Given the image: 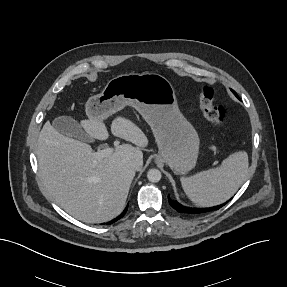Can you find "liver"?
<instances>
[{
  "label": "liver",
  "mask_w": 287,
  "mask_h": 287,
  "mask_svg": "<svg viewBox=\"0 0 287 287\" xmlns=\"http://www.w3.org/2000/svg\"><path fill=\"white\" fill-rule=\"evenodd\" d=\"M81 123L92 138L109 137L103 119ZM111 132L136 146L122 144L96 159L89 144L60 134L50 122L39 133L36 155L44 186L62 209L86 223L106 222L122 212L135 176L129 163L143 159L139 148L148 145L144 132L124 117L113 120Z\"/></svg>",
  "instance_id": "liver-1"
}]
</instances>
